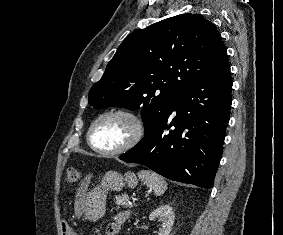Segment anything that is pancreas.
Listing matches in <instances>:
<instances>
[{"label": "pancreas", "instance_id": "pancreas-1", "mask_svg": "<svg viewBox=\"0 0 283 235\" xmlns=\"http://www.w3.org/2000/svg\"><path fill=\"white\" fill-rule=\"evenodd\" d=\"M115 203L126 208L133 207V205L129 203V197L127 194L115 196Z\"/></svg>", "mask_w": 283, "mask_h": 235}]
</instances>
